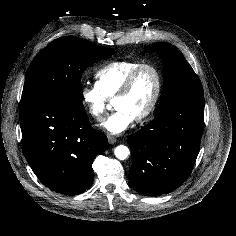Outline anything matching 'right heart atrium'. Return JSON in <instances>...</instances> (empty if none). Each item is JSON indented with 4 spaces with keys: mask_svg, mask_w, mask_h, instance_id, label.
<instances>
[{
    "mask_svg": "<svg viewBox=\"0 0 236 236\" xmlns=\"http://www.w3.org/2000/svg\"><path fill=\"white\" fill-rule=\"evenodd\" d=\"M81 101L87 112L96 120L101 121L105 117L108 99L103 95L96 84L82 86Z\"/></svg>",
    "mask_w": 236,
    "mask_h": 236,
    "instance_id": "1",
    "label": "right heart atrium"
}]
</instances>
